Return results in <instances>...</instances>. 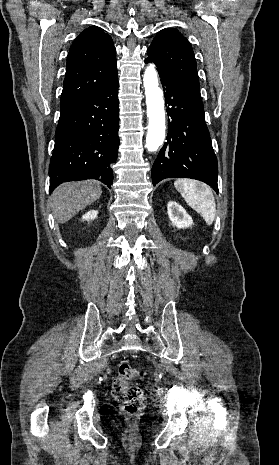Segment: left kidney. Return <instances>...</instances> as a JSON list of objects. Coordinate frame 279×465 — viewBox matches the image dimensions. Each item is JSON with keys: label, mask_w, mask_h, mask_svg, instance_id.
Segmentation results:
<instances>
[{"label": "left kidney", "mask_w": 279, "mask_h": 465, "mask_svg": "<svg viewBox=\"0 0 279 465\" xmlns=\"http://www.w3.org/2000/svg\"><path fill=\"white\" fill-rule=\"evenodd\" d=\"M167 213L173 226L177 228H188L193 224V220L186 210L177 202L170 201L167 205Z\"/></svg>", "instance_id": "5707ae66"}]
</instances>
